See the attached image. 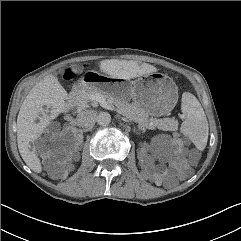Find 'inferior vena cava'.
<instances>
[{
    "mask_svg": "<svg viewBox=\"0 0 241 241\" xmlns=\"http://www.w3.org/2000/svg\"><path fill=\"white\" fill-rule=\"evenodd\" d=\"M96 117V111L92 109L84 110L77 115L76 123L80 127L88 128L94 125Z\"/></svg>",
    "mask_w": 241,
    "mask_h": 241,
    "instance_id": "1",
    "label": "inferior vena cava"
}]
</instances>
